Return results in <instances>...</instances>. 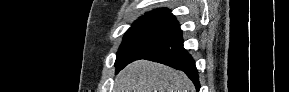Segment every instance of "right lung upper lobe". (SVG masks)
Returning <instances> with one entry per match:
<instances>
[{
  "label": "right lung upper lobe",
  "instance_id": "1",
  "mask_svg": "<svg viewBox=\"0 0 289 92\" xmlns=\"http://www.w3.org/2000/svg\"><path fill=\"white\" fill-rule=\"evenodd\" d=\"M138 20H149L178 25L177 19L167 8H157L153 11L147 12L143 16H141Z\"/></svg>",
  "mask_w": 289,
  "mask_h": 92
}]
</instances>
